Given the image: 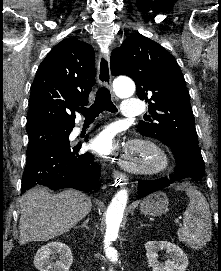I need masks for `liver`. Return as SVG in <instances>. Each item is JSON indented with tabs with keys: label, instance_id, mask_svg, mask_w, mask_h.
Here are the masks:
<instances>
[{
	"label": "liver",
	"instance_id": "1",
	"mask_svg": "<svg viewBox=\"0 0 221 271\" xmlns=\"http://www.w3.org/2000/svg\"><path fill=\"white\" fill-rule=\"evenodd\" d=\"M92 209V201L82 191L64 189L50 193L48 187H31L21 197L20 245L28 241H48L74 227Z\"/></svg>",
	"mask_w": 221,
	"mask_h": 271
}]
</instances>
